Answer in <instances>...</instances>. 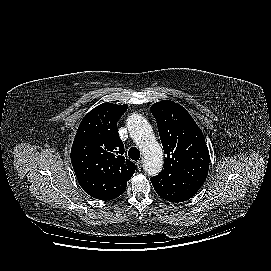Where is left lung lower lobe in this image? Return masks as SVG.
<instances>
[{
	"label": "left lung lower lobe",
	"mask_w": 271,
	"mask_h": 271,
	"mask_svg": "<svg viewBox=\"0 0 271 271\" xmlns=\"http://www.w3.org/2000/svg\"><path fill=\"white\" fill-rule=\"evenodd\" d=\"M157 194L170 202H183L188 200L200 189V186L186 180L179 174L165 177L161 183H153Z\"/></svg>",
	"instance_id": "obj_1"
}]
</instances>
